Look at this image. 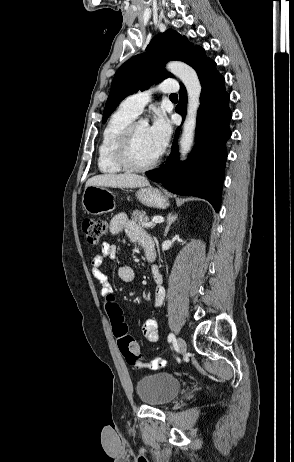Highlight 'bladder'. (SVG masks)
I'll list each match as a JSON object with an SVG mask.
<instances>
[{
    "label": "bladder",
    "instance_id": "1",
    "mask_svg": "<svg viewBox=\"0 0 294 462\" xmlns=\"http://www.w3.org/2000/svg\"><path fill=\"white\" fill-rule=\"evenodd\" d=\"M135 389L143 403L160 407L177 397L181 390V381L169 373H156L138 379Z\"/></svg>",
    "mask_w": 294,
    "mask_h": 462
}]
</instances>
